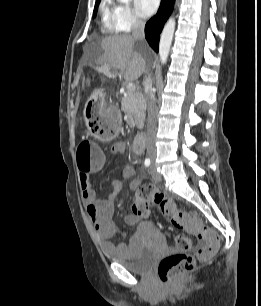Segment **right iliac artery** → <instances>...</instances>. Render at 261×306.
Masks as SVG:
<instances>
[{"mask_svg": "<svg viewBox=\"0 0 261 306\" xmlns=\"http://www.w3.org/2000/svg\"><path fill=\"white\" fill-rule=\"evenodd\" d=\"M144 164H145L146 167L150 166V164H151L150 159L146 158L145 161H144Z\"/></svg>", "mask_w": 261, "mask_h": 306, "instance_id": "1", "label": "right iliac artery"}]
</instances>
